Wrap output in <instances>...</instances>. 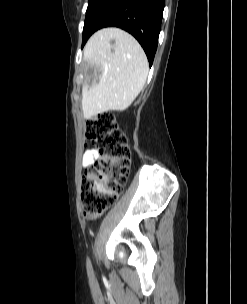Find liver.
Returning a JSON list of instances; mask_svg holds the SVG:
<instances>
[{
    "instance_id": "1",
    "label": "liver",
    "mask_w": 247,
    "mask_h": 304,
    "mask_svg": "<svg viewBox=\"0 0 247 304\" xmlns=\"http://www.w3.org/2000/svg\"><path fill=\"white\" fill-rule=\"evenodd\" d=\"M112 39L115 44L110 43ZM83 57L99 77L98 83L83 86V117L129 107L142 90L149 70L147 57L134 37L114 27L102 29L88 40Z\"/></svg>"
}]
</instances>
